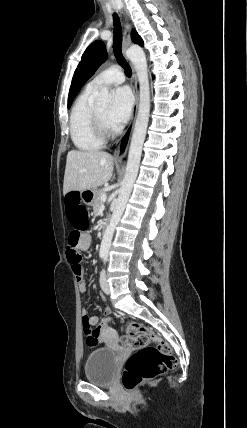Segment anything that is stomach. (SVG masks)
I'll list each match as a JSON object with an SVG mask.
<instances>
[{
  "label": "stomach",
  "instance_id": "0dacf381",
  "mask_svg": "<svg viewBox=\"0 0 247 428\" xmlns=\"http://www.w3.org/2000/svg\"><path fill=\"white\" fill-rule=\"evenodd\" d=\"M96 189H88L81 192V198L83 202H85L87 205H93L95 196H96Z\"/></svg>",
  "mask_w": 247,
  "mask_h": 428
}]
</instances>
